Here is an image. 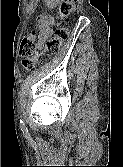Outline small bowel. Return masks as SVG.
Returning <instances> with one entry per match:
<instances>
[{"mask_svg": "<svg viewBox=\"0 0 123 167\" xmlns=\"http://www.w3.org/2000/svg\"><path fill=\"white\" fill-rule=\"evenodd\" d=\"M51 2H55V0H50ZM38 43L37 48L41 50L44 46L45 41L52 35L53 26H54V18L48 14H42L38 17Z\"/></svg>", "mask_w": 123, "mask_h": 167, "instance_id": "small-bowel-1", "label": "small bowel"}]
</instances>
